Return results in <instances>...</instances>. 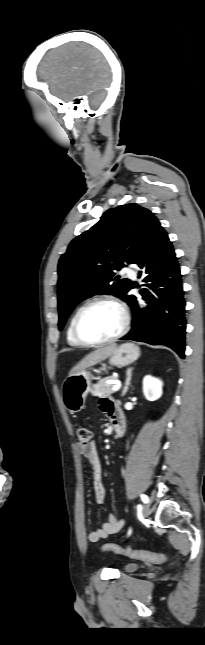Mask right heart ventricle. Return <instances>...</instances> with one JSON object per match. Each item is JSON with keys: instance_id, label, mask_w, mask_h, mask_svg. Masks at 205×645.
<instances>
[{"instance_id": "e07e8e85", "label": "right heart ventricle", "mask_w": 205, "mask_h": 645, "mask_svg": "<svg viewBox=\"0 0 205 645\" xmlns=\"http://www.w3.org/2000/svg\"><path fill=\"white\" fill-rule=\"evenodd\" d=\"M73 317L70 319L67 330H66V339L67 342L70 346L78 347L81 346V344L75 339L73 332H72V322H73Z\"/></svg>"}]
</instances>
